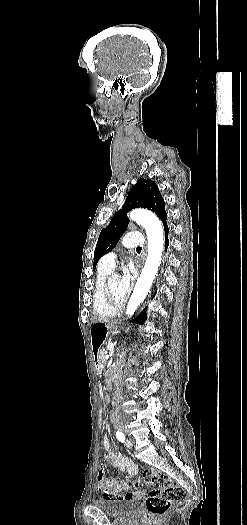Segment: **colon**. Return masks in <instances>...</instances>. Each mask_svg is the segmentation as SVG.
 Returning a JSON list of instances; mask_svg holds the SVG:
<instances>
[{"label":"colon","mask_w":247,"mask_h":525,"mask_svg":"<svg viewBox=\"0 0 247 525\" xmlns=\"http://www.w3.org/2000/svg\"><path fill=\"white\" fill-rule=\"evenodd\" d=\"M96 424L98 431H103V427L107 425V420L100 417ZM140 476L144 484L155 486V489L151 490L146 497L148 515L153 519L163 520L167 518L171 503L182 501L186 497V491L182 487L173 485L171 479L163 472L147 469L143 470Z\"/></svg>","instance_id":"5ec220e1"}]
</instances>
